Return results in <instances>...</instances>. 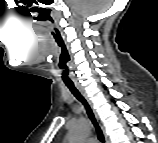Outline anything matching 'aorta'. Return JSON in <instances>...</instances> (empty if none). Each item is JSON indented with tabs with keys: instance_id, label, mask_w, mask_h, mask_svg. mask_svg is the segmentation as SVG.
Listing matches in <instances>:
<instances>
[{
	"instance_id": "obj_1",
	"label": "aorta",
	"mask_w": 158,
	"mask_h": 143,
	"mask_svg": "<svg viewBox=\"0 0 158 143\" xmlns=\"http://www.w3.org/2000/svg\"><path fill=\"white\" fill-rule=\"evenodd\" d=\"M90 132V125L85 120H80L76 122L70 130L69 141L78 142L82 141L87 137Z\"/></svg>"
}]
</instances>
